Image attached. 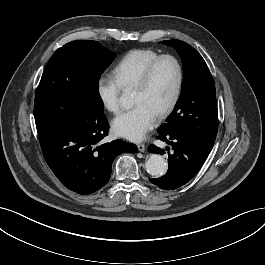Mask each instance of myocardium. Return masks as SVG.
I'll list each match as a JSON object with an SVG mask.
<instances>
[{
  "instance_id": "myocardium-1",
  "label": "myocardium",
  "mask_w": 265,
  "mask_h": 265,
  "mask_svg": "<svg viewBox=\"0 0 265 265\" xmlns=\"http://www.w3.org/2000/svg\"><path fill=\"white\" fill-rule=\"evenodd\" d=\"M164 60H171L175 64L176 69H177V83H176V87H175V91L172 96V99L167 104V106L157 114V117L160 119L167 117L169 114L173 112L182 94L183 83H184V70H183V66L181 62L179 61V59L171 54L159 55L157 58H155L153 61H151L146 66V68L143 70L142 74L140 75L138 81L133 87L134 89H137V90L146 89L150 83L152 74L156 66L161 61H164Z\"/></svg>"
}]
</instances>
